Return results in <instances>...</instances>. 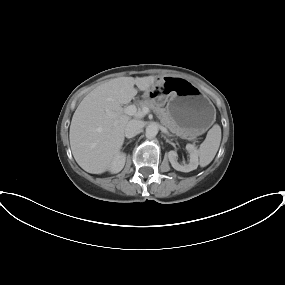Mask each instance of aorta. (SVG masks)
Segmentation results:
<instances>
[{"label": "aorta", "instance_id": "obj_1", "mask_svg": "<svg viewBox=\"0 0 285 285\" xmlns=\"http://www.w3.org/2000/svg\"><path fill=\"white\" fill-rule=\"evenodd\" d=\"M159 128L157 124H150L146 128V137L153 138L158 134Z\"/></svg>", "mask_w": 285, "mask_h": 285}]
</instances>
